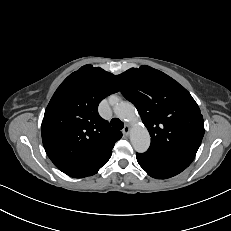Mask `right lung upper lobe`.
Wrapping results in <instances>:
<instances>
[{"instance_id": "cb5924a9", "label": "right lung upper lobe", "mask_w": 231, "mask_h": 231, "mask_svg": "<svg viewBox=\"0 0 231 231\" xmlns=\"http://www.w3.org/2000/svg\"><path fill=\"white\" fill-rule=\"evenodd\" d=\"M118 91L115 76L92 65L82 66L57 88L41 133L48 157L63 173L74 177L112 152L122 133L99 116L98 105Z\"/></svg>"}]
</instances>
